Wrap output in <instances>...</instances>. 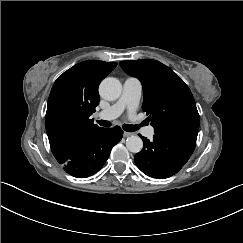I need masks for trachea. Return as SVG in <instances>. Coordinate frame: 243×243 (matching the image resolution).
I'll list each match as a JSON object with an SVG mask.
<instances>
[{"mask_svg":"<svg viewBox=\"0 0 243 243\" xmlns=\"http://www.w3.org/2000/svg\"><path fill=\"white\" fill-rule=\"evenodd\" d=\"M97 122L99 123L100 126H103V127H110L112 125L110 121L98 120ZM141 126H143V123H141L140 125L124 124L122 127L127 132H135Z\"/></svg>","mask_w":243,"mask_h":243,"instance_id":"obj_1","label":"trachea"}]
</instances>
